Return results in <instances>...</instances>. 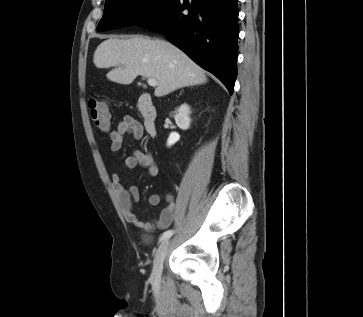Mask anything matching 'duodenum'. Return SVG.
I'll return each instance as SVG.
<instances>
[{
	"instance_id": "obj_1",
	"label": "duodenum",
	"mask_w": 363,
	"mask_h": 317,
	"mask_svg": "<svg viewBox=\"0 0 363 317\" xmlns=\"http://www.w3.org/2000/svg\"><path fill=\"white\" fill-rule=\"evenodd\" d=\"M138 109L142 115L145 130L151 136L157 135L156 109L148 93H142L138 98Z\"/></svg>"
}]
</instances>
